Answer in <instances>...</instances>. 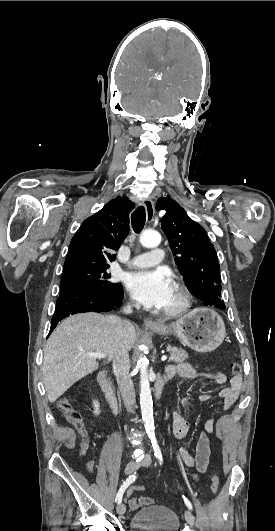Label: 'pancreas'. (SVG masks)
<instances>
[{
  "instance_id": "pancreas-1",
  "label": "pancreas",
  "mask_w": 275,
  "mask_h": 531,
  "mask_svg": "<svg viewBox=\"0 0 275 531\" xmlns=\"http://www.w3.org/2000/svg\"><path fill=\"white\" fill-rule=\"evenodd\" d=\"M167 353H171L168 363H183L185 359H188L186 351L177 349V347H171V345H168Z\"/></svg>"
}]
</instances>
